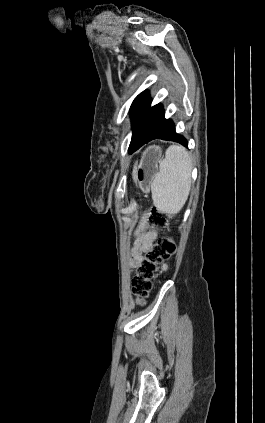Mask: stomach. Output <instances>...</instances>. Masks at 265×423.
Here are the masks:
<instances>
[{
    "instance_id": "obj_1",
    "label": "stomach",
    "mask_w": 265,
    "mask_h": 423,
    "mask_svg": "<svg viewBox=\"0 0 265 423\" xmlns=\"http://www.w3.org/2000/svg\"><path fill=\"white\" fill-rule=\"evenodd\" d=\"M161 156L162 150L159 146H151L143 152L137 176L145 183L144 187L155 177Z\"/></svg>"
}]
</instances>
